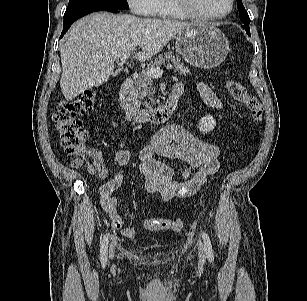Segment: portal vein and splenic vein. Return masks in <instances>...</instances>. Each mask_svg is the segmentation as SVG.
<instances>
[{"instance_id":"1","label":"portal vein and splenic vein","mask_w":307,"mask_h":301,"mask_svg":"<svg viewBox=\"0 0 307 301\" xmlns=\"http://www.w3.org/2000/svg\"><path fill=\"white\" fill-rule=\"evenodd\" d=\"M130 54H131L130 52L124 53L122 55V57L120 58L121 62L129 65L128 58H129ZM172 68H173V66L171 64L166 65V69H172ZM145 73H146V75H148L150 77L160 78L163 74V69H161L160 67H155V68L148 69Z\"/></svg>"}]
</instances>
